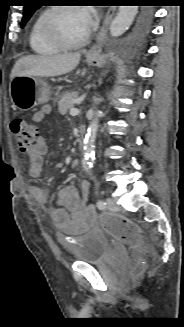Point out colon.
Returning <instances> with one entry per match:
<instances>
[{"mask_svg":"<svg viewBox=\"0 0 184 327\" xmlns=\"http://www.w3.org/2000/svg\"><path fill=\"white\" fill-rule=\"evenodd\" d=\"M11 131L16 140L17 146L23 152L29 151L37 139L36 127L29 123L23 117H17L11 122ZM100 222L106 226L110 233L121 240L132 241L137 238L138 230L129 221L120 218H110L107 215L100 217ZM143 266L139 264L137 271L142 270Z\"/></svg>","mask_w":184,"mask_h":327,"instance_id":"5ec220e1","label":"colon"}]
</instances>
